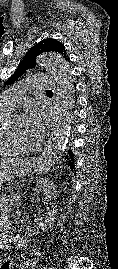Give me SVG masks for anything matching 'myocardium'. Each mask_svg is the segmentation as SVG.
<instances>
[{"label": "myocardium", "instance_id": "f54148a6", "mask_svg": "<svg viewBox=\"0 0 118 269\" xmlns=\"http://www.w3.org/2000/svg\"><path fill=\"white\" fill-rule=\"evenodd\" d=\"M15 136V138L18 140V142L22 145V149H25L27 147L24 146V140L22 138V136L18 135V134H13Z\"/></svg>", "mask_w": 118, "mask_h": 269}]
</instances>
